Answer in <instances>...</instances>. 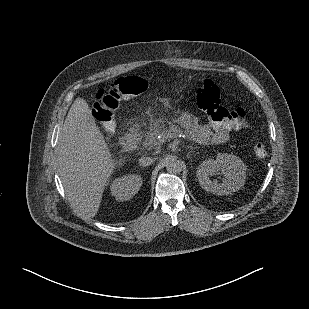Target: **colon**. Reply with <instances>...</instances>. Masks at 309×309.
<instances>
[{
  "mask_svg": "<svg viewBox=\"0 0 309 309\" xmlns=\"http://www.w3.org/2000/svg\"><path fill=\"white\" fill-rule=\"evenodd\" d=\"M149 88L147 81L138 76H126L101 88L96 94L97 118L101 121L106 132H114L117 127L115 112L124 99L132 98ZM196 102L199 109L209 122L216 126L239 127L246 120V111L242 107L227 109L221 104L219 87L210 79H206L197 90ZM258 158H265V145L257 141L253 146Z\"/></svg>",
  "mask_w": 309,
  "mask_h": 309,
  "instance_id": "colon-1",
  "label": "colon"
}]
</instances>
